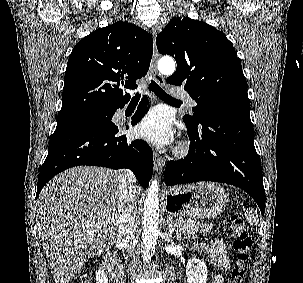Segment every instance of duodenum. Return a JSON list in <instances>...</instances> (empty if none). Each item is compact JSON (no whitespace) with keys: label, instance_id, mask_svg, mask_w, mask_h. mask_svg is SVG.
I'll return each instance as SVG.
<instances>
[{"label":"duodenum","instance_id":"obj_1","mask_svg":"<svg viewBox=\"0 0 303 283\" xmlns=\"http://www.w3.org/2000/svg\"><path fill=\"white\" fill-rule=\"evenodd\" d=\"M104 267L109 273V276L113 283H122L123 266L120 258L115 253H109L106 256Z\"/></svg>","mask_w":303,"mask_h":283}]
</instances>
